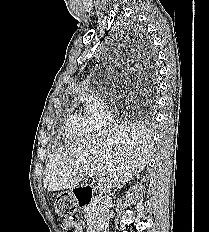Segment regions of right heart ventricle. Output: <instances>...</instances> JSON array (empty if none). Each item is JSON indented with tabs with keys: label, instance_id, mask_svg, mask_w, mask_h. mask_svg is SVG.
<instances>
[{
	"label": "right heart ventricle",
	"instance_id": "1",
	"mask_svg": "<svg viewBox=\"0 0 209 232\" xmlns=\"http://www.w3.org/2000/svg\"><path fill=\"white\" fill-rule=\"evenodd\" d=\"M65 131L69 138L86 136L90 132L87 117L78 111L71 113L67 119Z\"/></svg>",
	"mask_w": 209,
	"mask_h": 232
}]
</instances>
